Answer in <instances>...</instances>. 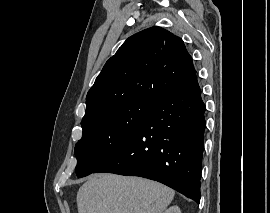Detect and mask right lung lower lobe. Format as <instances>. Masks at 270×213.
I'll list each match as a JSON object with an SVG mask.
<instances>
[{
	"label": "right lung lower lobe",
	"instance_id": "right-lung-lower-lobe-1",
	"mask_svg": "<svg viewBox=\"0 0 270 213\" xmlns=\"http://www.w3.org/2000/svg\"><path fill=\"white\" fill-rule=\"evenodd\" d=\"M204 113L195 74L159 101L135 134L94 173L152 179L199 204Z\"/></svg>",
	"mask_w": 270,
	"mask_h": 213
}]
</instances>
